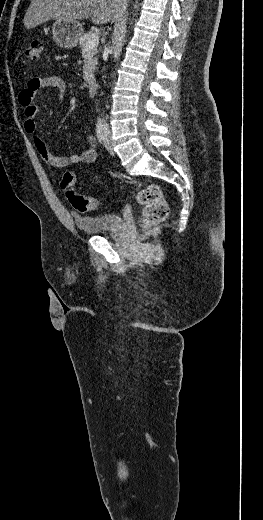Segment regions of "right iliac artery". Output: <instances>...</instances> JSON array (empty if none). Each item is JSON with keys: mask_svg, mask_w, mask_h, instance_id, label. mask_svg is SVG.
<instances>
[{"mask_svg": "<svg viewBox=\"0 0 263 520\" xmlns=\"http://www.w3.org/2000/svg\"><path fill=\"white\" fill-rule=\"evenodd\" d=\"M104 125L102 122H98L97 126H96V136L98 138V141L100 142V144H103L104 143V140H105V130H104Z\"/></svg>", "mask_w": 263, "mask_h": 520, "instance_id": "82829eb1", "label": "right iliac artery"}]
</instances>
